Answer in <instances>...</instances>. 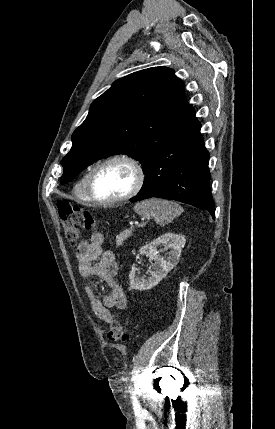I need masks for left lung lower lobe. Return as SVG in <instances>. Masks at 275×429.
Listing matches in <instances>:
<instances>
[{
  "label": "left lung lower lobe",
  "instance_id": "obj_1",
  "mask_svg": "<svg viewBox=\"0 0 275 429\" xmlns=\"http://www.w3.org/2000/svg\"><path fill=\"white\" fill-rule=\"evenodd\" d=\"M200 123L190 106L172 135L152 158L143 186L131 202L151 197L171 199L206 209L215 217L210 189L209 153Z\"/></svg>",
  "mask_w": 275,
  "mask_h": 429
}]
</instances>
